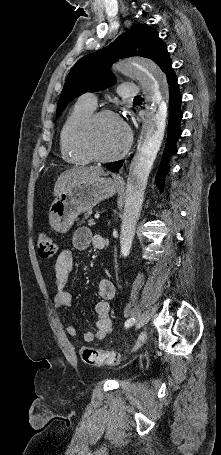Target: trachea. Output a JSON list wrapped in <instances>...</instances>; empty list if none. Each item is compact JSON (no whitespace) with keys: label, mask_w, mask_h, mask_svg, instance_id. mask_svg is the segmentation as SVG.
Instances as JSON below:
<instances>
[{"label":"trachea","mask_w":221,"mask_h":455,"mask_svg":"<svg viewBox=\"0 0 221 455\" xmlns=\"http://www.w3.org/2000/svg\"><path fill=\"white\" fill-rule=\"evenodd\" d=\"M139 98H141V96H140V95H138V96L134 97V99H139Z\"/></svg>","instance_id":"trachea-1"}]
</instances>
